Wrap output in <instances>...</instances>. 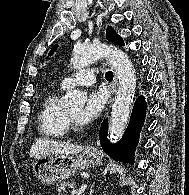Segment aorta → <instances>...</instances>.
Masks as SVG:
<instances>
[{
    "label": "aorta",
    "instance_id": "762f6f07",
    "mask_svg": "<svg viewBox=\"0 0 189 195\" xmlns=\"http://www.w3.org/2000/svg\"><path fill=\"white\" fill-rule=\"evenodd\" d=\"M103 57L109 59L119 79L109 124L110 140L117 141L126 128L135 95L136 77L129 57L123 51L105 44H78L74 48L71 64L74 69H81ZM86 100L83 92L74 90L67 94L65 103L70 107H82Z\"/></svg>",
    "mask_w": 189,
    "mask_h": 195
}]
</instances>
